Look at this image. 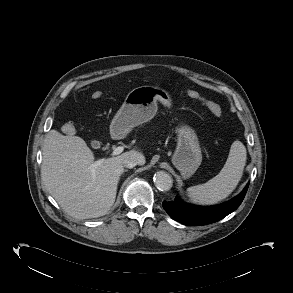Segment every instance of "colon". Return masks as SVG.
<instances>
[{
    "instance_id": "obj_1",
    "label": "colon",
    "mask_w": 293,
    "mask_h": 293,
    "mask_svg": "<svg viewBox=\"0 0 293 293\" xmlns=\"http://www.w3.org/2000/svg\"><path fill=\"white\" fill-rule=\"evenodd\" d=\"M187 95L194 100L201 102L214 116L221 117L222 116V109L219 104L215 103L212 100H209L202 96L199 92L195 90H188ZM102 96L101 91H94L92 93L93 99H98ZM63 133L70 135L74 132V126L71 123H66L62 127Z\"/></svg>"
}]
</instances>
